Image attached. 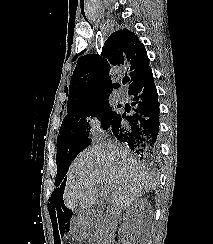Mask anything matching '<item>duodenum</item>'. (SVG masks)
<instances>
[{
  "label": "duodenum",
  "instance_id": "obj_1",
  "mask_svg": "<svg viewBox=\"0 0 213 244\" xmlns=\"http://www.w3.org/2000/svg\"><path fill=\"white\" fill-rule=\"evenodd\" d=\"M97 216V213H92L90 216L86 217V222L90 223L92 221V218ZM119 225H117L116 223L113 224V234L111 236L108 237L106 244H115L116 243V239H117V234H118V228Z\"/></svg>",
  "mask_w": 213,
  "mask_h": 244
}]
</instances>
